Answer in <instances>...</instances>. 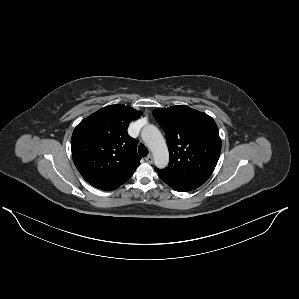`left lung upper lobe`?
Returning a JSON list of instances; mask_svg holds the SVG:
<instances>
[{
  "mask_svg": "<svg viewBox=\"0 0 299 299\" xmlns=\"http://www.w3.org/2000/svg\"><path fill=\"white\" fill-rule=\"evenodd\" d=\"M153 116L165 132L170 155L169 166L155 170L173 179L206 181L221 152L213 118L186 105L157 109Z\"/></svg>",
  "mask_w": 299,
  "mask_h": 299,
  "instance_id": "1",
  "label": "left lung upper lobe"
}]
</instances>
